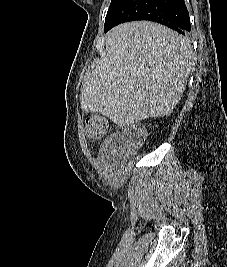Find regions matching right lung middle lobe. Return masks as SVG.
<instances>
[{
	"label": "right lung middle lobe",
	"mask_w": 227,
	"mask_h": 267,
	"mask_svg": "<svg viewBox=\"0 0 227 267\" xmlns=\"http://www.w3.org/2000/svg\"><path fill=\"white\" fill-rule=\"evenodd\" d=\"M126 1L127 0H112L111 1L110 7L108 9L106 19H105V26L112 21L116 13L119 11V9L123 6V4Z\"/></svg>",
	"instance_id": "dd1d6c3e"
}]
</instances>
